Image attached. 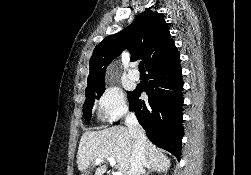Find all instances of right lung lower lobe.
I'll use <instances>...</instances> for the list:
<instances>
[{"mask_svg":"<svg viewBox=\"0 0 251 175\" xmlns=\"http://www.w3.org/2000/svg\"><path fill=\"white\" fill-rule=\"evenodd\" d=\"M147 71L146 80L138 84L134 91L128 92L130 109L137 115L148 138L180 160L184 135L180 55ZM143 91L147 93L148 100L140 99Z\"/></svg>","mask_w":251,"mask_h":175,"instance_id":"98d812e1","label":"right lung lower lobe"}]
</instances>
